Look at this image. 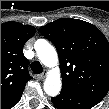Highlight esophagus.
Masks as SVG:
<instances>
[{"instance_id": "esophagus-1", "label": "esophagus", "mask_w": 109, "mask_h": 109, "mask_svg": "<svg viewBox=\"0 0 109 109\" xmlns=\"http://www.w3.org/2000/svg\"><path fill=\"white\" fill-rule=\"evenodd\" d=\"M45 77H46V73H45V72L42 73L41 75H39V78H40L41 80H43Z\"/></svg>"}]
</instances>
